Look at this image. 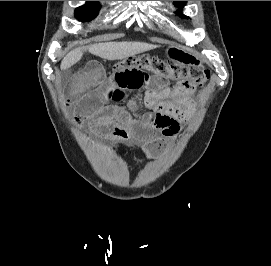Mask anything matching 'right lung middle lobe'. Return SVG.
Instances as JSON below:
<instances>
[{
	"mask_svg": "<svg viewBox=\"0 0 271 266\" xmlns=\"http://www.w3.org/2000/svg\"><path fill=\"white\" fill-rule=\"evenodd\" d=\"M99 4L89 1L85 5L76 8L75 17L80 21H89L98 15Z\"/></svg>",
	"mask_w": 271,
	"mask_h": 266,
	"instance_id": "obj_1",
	"label": "right lung middle lobe"
}]
</instances>
